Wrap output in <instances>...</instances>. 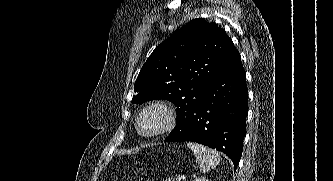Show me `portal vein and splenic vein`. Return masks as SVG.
I'll return each instance as SVG.
<instances>
[{
	"label": "portal vein and splenic vein",
	"mask_w": 333,
	"mask_h": 181,
	"mask_svg": "<svg viewBox=\"0 0 333 181\" xmlns=\"http://www.w3.org/2000/svg\"><path fill=\"white\" fill-rule=\"evenodd\" d=\"M181 180H182V177H179V176H178V177L176 178V181H181Z\"/></svg>",
	"instance_id": "portal-vein-and-splenic-vein-1"
}]
</instances>
